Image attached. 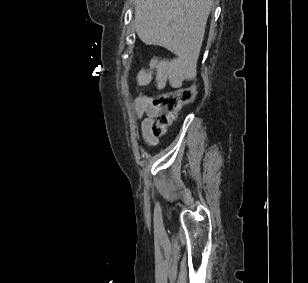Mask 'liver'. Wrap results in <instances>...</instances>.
Here are the masks:
<instances>
[{
    "label": "liver",
    "instance_id": "6515ba94",
    "mask_svg": "<svg viewBox=\"0 0 308 283\" xmlns=\"http://www.w3.org/2000/svg\"><path fill=\"white\" fill-rule=\"evenodd\" d=\"M212 0H135V29L143 43L196 63Z\"/></svg>",
    "mask_w": 308,
    "mask_h": 283
}]
</instances>
